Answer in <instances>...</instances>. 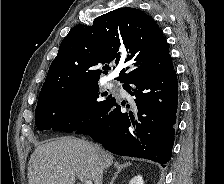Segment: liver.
<instances>
[{"mask_svg": "<svg viewBox=\"0 0 224 184\" xmlns=\"http://www.w3.org/2000/svg\"><path fill=\"white\" fill-rule=\"evenodd\" d=\"M113 155L100 146L73 137L49 140L36 147L28 165V184H75L81 176L102 184Z\"/></svg>", "mask_w": 224, "mask_h": 184, "instance_id": "liver-1", "label": "liver"}]
</instances>
